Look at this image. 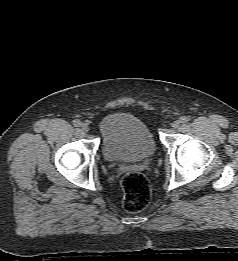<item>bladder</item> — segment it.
Returning a JSON list of instances; mask_svg holds the SVG:
<instances>
[{"instance_id":"obj_1","label":"bladder","mask_w":238,"mask_h":261,"mask_svg":"<svg viewBox=\"0 0 238 261\" xmlns=\"http://www.w3.org/2000/svg\"><path fill=\"white\" fill-rule=\"evenodd\" d=\"M99 130L102 154L108 162H137L156 151L152 132L132 114L111 113L100 121Z\"/></svg>"}]
</instances>
